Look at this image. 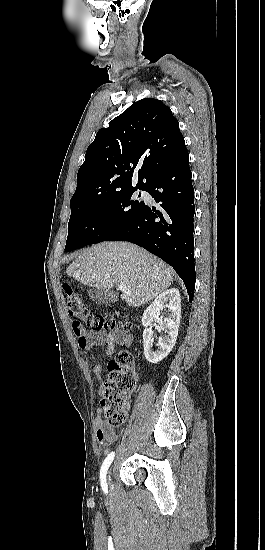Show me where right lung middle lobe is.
I'll return each instance as SVG.
<instances>
[{"mask_svg": "<svg viewBox=\"0 0 265 550\" xmlns=\"http://www.w3.org/2000/svg\"><path fill=\"white\" fill-rule=\"evenodd\" d=\"M136 190L131 189L89 200L71 199L65 251L105 241L112 233L135 219L146 206L144 202L134 198Z\"/></svg>", "mask_w": 265, "mask_h": 550, "instance_id": "1", "label": "right lung middle lobe"}]
</instances>
